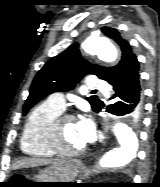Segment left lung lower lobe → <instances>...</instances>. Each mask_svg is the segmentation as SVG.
Returning <instances> with one entry per match:
<instances>
[{"label": "left lung lower lobe", "mask_w": 160, "mask_h": 187, "mask_svg": "<svg viewBox=\"0 0 160 187\" xmlns=\"http://www.w3.org/2000/svg\"><path fill=\"white\" fill-rule=\"evenodd\" d=\"M110 84L113 87L112 97L115 102L106 111L115 115L126 116L127 119L139 123L143 112V93L140 82L139 63L133 56L121 75ZM103 107V104H101Z\"/></svg>", "instance_id": "left-lung-lower-lobe-1"}]
</instances>
